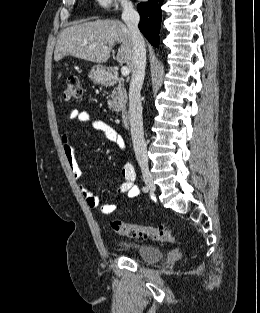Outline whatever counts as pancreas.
<instances>
[{
    "mask_svg": "<svg viewBox=\"0 0 260 313\" xmlns=\"http://www.w3.org/2000/svg\"><path fill=\"white\" fill-rule=\"evenodd\" d=\"M111 99L108 100L109 108L116 113L120 111H125L127 103V93L124 89V84L122 81H119V84L114 88L110 94Z\"/></svg>",
    "mask_w": 260,
    "mask_h": 313,
    "instance_id": "1",
    "label": "pancreas"
}]
</instances>
